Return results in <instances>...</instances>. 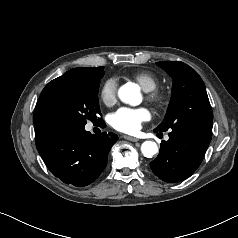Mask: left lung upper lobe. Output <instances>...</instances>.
I'll list each match as a JSON object with an SVG mask.
<instances>
[{
    "instance_id": "obj_1",
    "label": "left lung upper lobe",
    "mask_w": 238,
    "mask_h": 238,
    "mask_svg": "<svg viewBox=\"0 0 238 238\" xmlns=\"http://www.w3.org/2000/svg\"><path fill=\"white\" fill-rule=\"evenodd\" d=\"M156 64L172 77L173 85L165 120L155 130L183 129L212 135L213 112L198 73L180 61Z\"/></svg>"
}]
</instances>
